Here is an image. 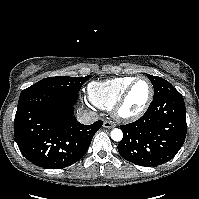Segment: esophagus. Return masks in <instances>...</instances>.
Masks as SVG:
<instances>
[{
    "instance_id": "34e87169",
    "label": "esophagus",
    "mask_w": 199,
    "mask_h": 199,
    "mask_svg": "<svg viewBox=\"0 0 199 199\" xmlns=\"http://www.w3.org/2000/svg\"><path fill=\"white\" fill-rule=\"evenodd\" d=\"M103 126L105 128H114V127H116V124L114 122H111V121H104Z\"/></svg>"
}]
</instances>
